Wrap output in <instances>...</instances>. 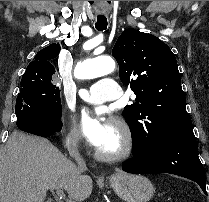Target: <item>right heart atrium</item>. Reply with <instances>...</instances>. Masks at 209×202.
<instances>
[{
	"instance_id": "d8ad5b80",
	"label": "right heart atrium",
	"mask_w": 209,
	"mask_h": 202,
	"mask_svg": "<svg viewBox=\"0 0 209 202\" xmlns=\"http://www.w3.org/2000/svg\"><path fill=\"white\" fill-rule=\"evenodd\" d=\"M62 139L67 149L77 151L82 145V139L78 131L73 127H63L61 129ZM66 169L72 176L78 175V169L71 163H66Z\"/></svg>"
}]
</instances>
